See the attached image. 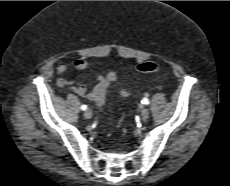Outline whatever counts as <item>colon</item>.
I'll return each mask as SVG.
<instances>
[{"label":"colon","mask_w":230,"mask_h":186,"mask_svg":"<svg viewBox=\"0 0 230 186\" xmlns=\"http://www.w3.org/2000/svg\"><path fill=\"white\" fill-rule=\"evenodd\" d=\"M159 70H160V66L154 62H143L137 65V71L141 73H154V72H158ZM107 77L110 81H114L116 79V75L114 73L107 74ZM104 103H105V98H101L98 101V106L102 107Z\"/></svg>","instance_id":"colon-1"}]
</instances>
